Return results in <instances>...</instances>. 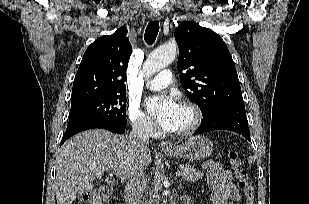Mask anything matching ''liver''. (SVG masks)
<instances>
[{
  "label": "liver",
  "mask_w": 309,
  "mask_h": 204,
  "mask_svg": "<svg viewBox=\"0 0 309 204\" xmlns=\"http://www.w3.org/2000/svg\"><path fill=\"white\" fill-rule=\"evenodd\" d=\"M151 151L136 150L128 137L102 129L82 132L66 141L56 156L57 204H72L93 188L105 170H121L129 178L137 169H147Z\"/></svg>",
  "instance_id": "1"
}]
</instances>
